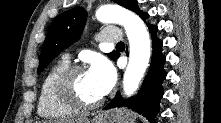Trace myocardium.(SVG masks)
Here are the masks:
<instances>
[{
	"instance_id": "f54148a6",
	"label": "myocardium",
	"mask_w": 221,
	"mask_h": 123,
	"mask_svg": "<svg viewBox=\"0 0 221 123\" xmlns=\"http://www.w3.org/2000/svg\"><path fill=\"white\" fill-rule=\"evenodd\" d=\"M83 72H86V69L80 65H69L66 67L55 80V93L59 100L67 106L77 111H90L101 106L104 102V97L95 102L88 103L78 96L74 88V79L76 75Z\"/></svg>"
}]
</instances>
